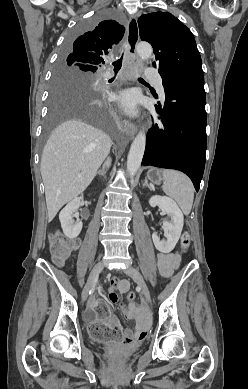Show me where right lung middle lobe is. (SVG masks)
<instances>
[{"instance_id": "obj_1", "label": "right lung middle lobe", "mask_w": 248, "mask_h": 389, "mask_svg": "<svg viewBox=\"0 0 248 389\" xmlns=\"http://www.w3.org/2000/svg\"><path fill=\"white\" fill-rule=\"evenodd\" d=\"M104 16L105 15L103 13H100L91 20L81 22L73 33V37L84 32L85 30L92 29L99 20L104 18ZM68 48L69 45L66 46L65 50L68 51ZM64 56L59 60L55 72V81L57 84H75L78 82L86 83L90 82L94 78L95 72L92 69L83 66L78 68H70L65 66L63 64ZM73 118L85 119L104 127L107 125V115L103 108L97 104H78L69 102L67 100L60 101L56 94H53L50 102L49 118L45 137L49 135L50 131L58 123Z\"/></svg>"}]
</instances>
